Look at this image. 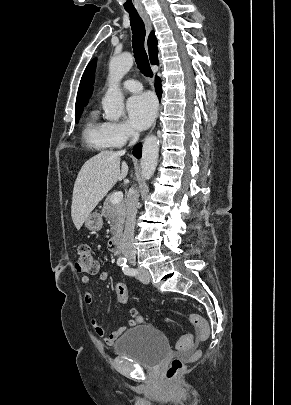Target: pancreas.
Wrapping results in <instances>:
<instances>
[{
  "label": "pancreas",
  "instance_id": "1",
  "mask_svg": "<svg viewBox=\"0 0 291 405\" xmlns=\"http://www.w3.org/2000/svg\"><path fill=\"white\" fill-rule=\"evenodd\" d=\"M114 193L107 196L102 208V216L111 221L110 231L113 236H117L123 229L126 211L125 202L121 201L117 204H112L111 198Z\"/></svg>",
  "mask_w": 291,
  "mask_h": 405
}]
</instances>
